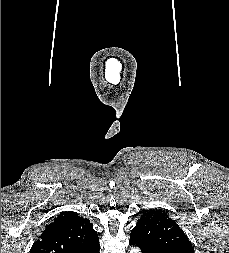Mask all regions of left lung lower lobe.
I'll use <instances>...</instances> for the list:
<instances>
[{
	"instance_id": "1",
	"label": "left lung lower lobe",
	"mask_w": 229,
	"mask_h": 253,
	"mask_svg": "<svg viewBox=\"0 0 229 253\" xmlns=\"http://www.w3.org/2000/svg\"><path fill=\"white\" fill-rule=\"evenodd\" d=\"M129 244H130V245H134V244H133V243H131L130 241H129ZM142 253H145V252H144V251H142Z\"/></svg>"
}]
</instances>
